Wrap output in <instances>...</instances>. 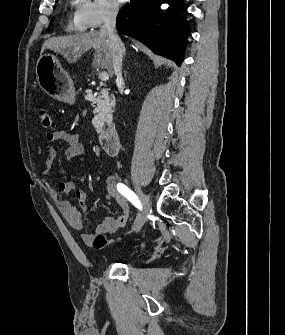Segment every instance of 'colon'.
<instances>
[{
  "instance_id": "obj_1",
  "label": "colon",
  "mask_w": 285,
  "mask_h": 335,
  "mask_svg": "<svg viewBox=\"0 0 285 335\" xmlns=\"http://www.w3.org/2000/svg\"><path fill=\"white\" fill-rule=\"evenodd\" d=\"M39 120L43 128H49L51 126V115L49 111L45 108L39 110ZM112 241L106 234H98L94 237L92 245L95 249H103Z\"/></svg>"
}]
</instances>
